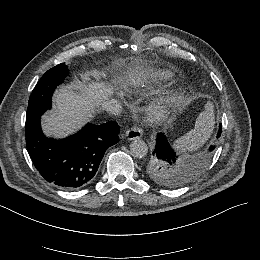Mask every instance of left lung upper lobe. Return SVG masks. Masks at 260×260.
<instances>
[{
	"instance_id": "5c2ea615",
	"label": "left lung upper lobe",
	"mask_w": 260,
	"mask_h": 260,
	"mask_svg": "<svg viewBox=\"0 0 260 260\" xmlns=\"http://www.w3.org/2000/svg\"><path fill=\"white\" fill-rule=\"evenodd\" d=\"M207 157L193 163H185L178 158L168 161L159 158L156 151L152 150L144 163L143 171L152 182L165 188H177L189 183L202 172Z\"/></svg>"
}]
</instances>
